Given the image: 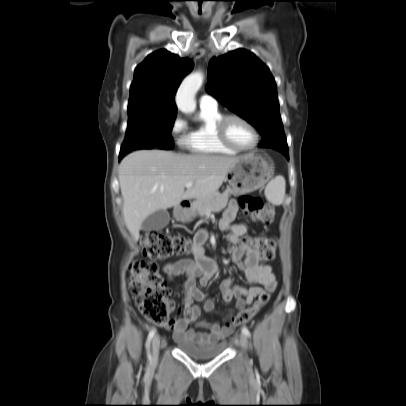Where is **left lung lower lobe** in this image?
Wrapping results in <instances>:
<instances>
[{
  "instance_id": "obj_1",
  "label": "left lung lower lobe",
  "mask_w": 406,
  "mask_h": 406,
  "mask_svg": "<svg viewBox=\"0 0 406 406\" xmlns=\"http://www.w3.org/2000/svg\"><path fill=\"white\" fill-rule=\"evenodd\" d=\"M282 153H283V154L286 156V158H287V159H289V153H288V150H287V151H286V150H285V151H282Z\"/></svg>"
}]
</instances>
